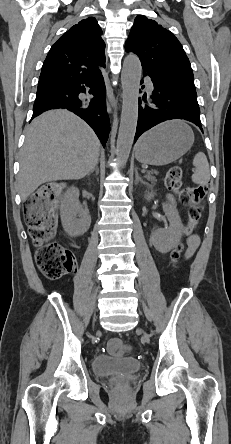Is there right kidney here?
<instances>
[{
  "instance_id": "right-kidney-1",
  "label": "right kidney",
  "mask_w": 231,
  "mask_h": 444,
  "mask_svg": "<svg viewBox=\"0 0 231 444\" xmlns=\"http://www.w3.org/2000/svg\"><path fill=\"white\" fill-rule=\"evenodd\" d=\"M61 222L65 232L71 237L83 235L90 227L91 217L80 205L79 191L69 189L60 205Z\"/></svg>"
}]
</instances>
